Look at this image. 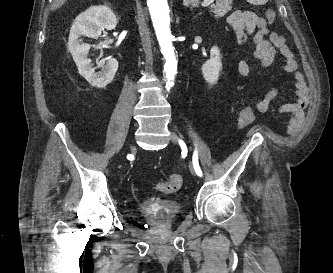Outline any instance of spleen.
I'll return each instance as SVG.
<instances>
[{
	"mask_svg": "<svg viewBox=\"0 0 333 273\" xmlns=\"http://www.w3.org/2000/svg\"><path fill=\"white\" fill-rule=\"evenodd\" d=\"M247 1L254 5H263L268 2V0H247Z\"/></svg>",
	"mask_w": 333,
	"mask_h": 273,
	"instance_id": "3e777b00",
	"label": "spleen"
}]
</instances>
